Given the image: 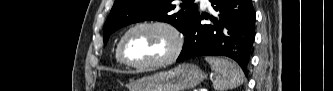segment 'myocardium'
<instances>
[{
    "label": "myocardium",
    "mask_w": 333,
    "mask_h": 91,
    "mask_svg": "<svg viewBox=\"0 0 333 91\" xmlns=\"http://www.w3.org/2000/svg\"><path fill=\"white\" fill-rule=\"evenodd\" d=\"M140 28H159L164 31H166L173 40V46L171 49V52L168 56L161 60L148 62V63H135L130 61L126 56V42L128 37L131 33H133L135 30ZM183 48V36L178 30V28L173 25L172 23L161 21V20H155V21H145V22H139L133 26H131L121 37L119 45H118V55L121 59V61L128 67L145 70V69H153V68H159L166 66L172 62H174L180 55Z\"/></svg>",
    "instance_id": "obj_1"
}]
</instances>
